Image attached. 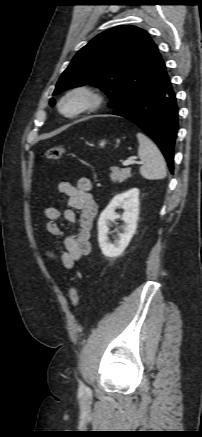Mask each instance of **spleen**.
<instances>
[{
    "label": "spleen",
    "instance_id": "3e777b00",
    "mask_svg": "<svg viewBox=\"0 0 202 437\" xmlns=\"http://www.w3.org/2000/svg\"><path fill=\"white\" fill-rule=\"evenodd\" d=\"M138 156L143 161L140 168L142 177L148 180H159L166 177V163L158 147L144 134L138 132Z\"/></svg>",
    "mask_w": 202,
    "mask_h": 437
}]
</instances>
